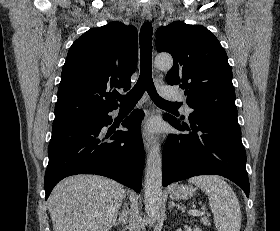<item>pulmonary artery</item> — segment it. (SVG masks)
I'll return each instance as SVG.
<instances>
[{
	"instance_id": "e3ab8cb5",
	"label": "pulmonary artery",
	"mask_w": 280,
	"mask_h": 231,
	"mask_svg": "<svg viewBox=\"0 0 280 231\" xmlns=\"http://www.w3.org/2000/svg\"><path fill=\"white\" fill-rule=\"evenodd\" d=\"M160 94L163 98H165L167 100H179V101H183L184 105H188L187 103H185L183 93H181L178 90L175 91V89L171 86H163L160 89ZM185 112L191 113L192 110H185Z\"/></svg>"
}]
</instances>
